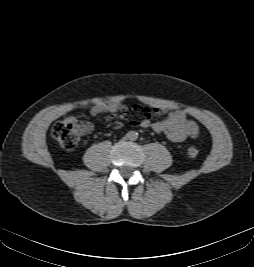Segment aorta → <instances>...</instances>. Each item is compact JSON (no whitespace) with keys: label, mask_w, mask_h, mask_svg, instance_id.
I'll use <instances>...</instances> for the list:
<instances>
[{"label":"aorta","mask_w":254,"mask_h":267,"mask_svg":"<svg viewBox=\"0 0 254 267\" xmlns=\"http://www.w3.org/2000/svg\"><path fill=\"white\" fill-rule=\"evenodd\" d=\"M128 138H129L130 140H136V139L138 138V134H137L136 132H134V131H130V132L128 133Z\"/></svg>","instance_id":"762f6f07"}]
</instances>
